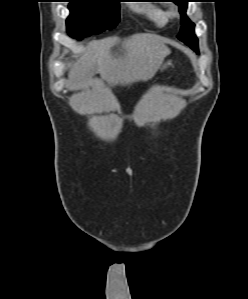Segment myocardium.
<instances>
[{
	"mask_svg": "<svg viewBox=\"0 0 248 299\" xmlns=\"http://www.w3.org/2000/svg\"><path fill=\"white\" fill-rule=\"evenodd\" d=\"M178 14L177 9L175 7H172L170 10V15L171 16H176Z\"/></svg>",
	"mask_w": 248,
	"mask_h": 299,
	"instance_id": "obj_1",
	"label": "myocardium"
}]
</instances>
